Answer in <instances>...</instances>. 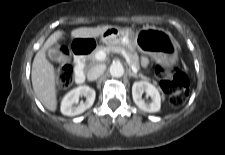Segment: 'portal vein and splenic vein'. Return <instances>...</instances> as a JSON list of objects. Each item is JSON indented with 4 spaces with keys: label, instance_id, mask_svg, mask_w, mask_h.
<instances>
[{
    "label": "portal vein and splenic vein",
    "instance_id": "obj_1",
    "mask_svg": "<svg viewBox=\"0 0 225 155\" xmlns=\"http://www.w3.org/2000/svg\"><path fill=\"white\" fill-rule=\"evenodd\" d=\"M113 52L118 53L117 50H114ZM105 58H106V52L105 51H98L95 54V59L98 60V61H103V60H105ZM127 62L130 64V61L128 59H127ZM130 67H131V69L134 73H137V68L134 65L130 64Z\"/></svg>",
    "mask_w": 225,
    "mask_h": 155
}]
</instances>
